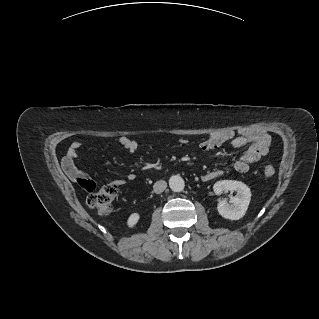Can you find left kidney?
<instances>
[{
    "mask_svg": "<svg viewBox=\"0 0 319 319\" xmlns=\"http://www.w3.org/2000/svg\"><path fill=\"white\" fill-rule=\"evenodd\" d=\"M213 189L217 195L228 191L236 192V195L230 198L229 203L226 199L219 201L217 210L222 217L239 220L245 215L251 200V191L246 184L236 180H222L216 182Z\"/></svg>",
    "mask_w": 319,
    "mask_h": 319,
    "instance_id": "obj_1",
    "label": "left kidney"
}]
</instances>
